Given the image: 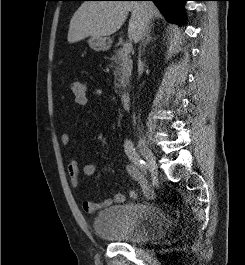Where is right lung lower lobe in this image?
Returning a JSON list of instances; mask_svg holds the SVG:
<instances>
[{
    "label": "right lung lower lobe",
    "mask_w": 245,
    "mask_h": 265,
    "mask_svg": "<svg viewBox=\"0 0 245 265\" xmlns=\"http://www.w3.org/2000/svg\"><path fill=\"white\" fill-rule=\"evenodd\" d=\"M122 1H143V0H122ZM153 1L160 9L165 18L176 24H184L183 2L188 0H148Z\"/></svg>",
    "instance_id": "right-lung-lower-lobe-1"
}]
</instances>
